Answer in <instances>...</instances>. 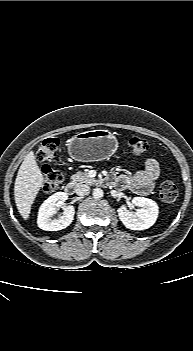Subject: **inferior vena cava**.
I'll list each match as a JSON object with an SVG mask.
<instances>
[{
	"instance_id": "inferior-vena-cava-1",
	"label": "inferior vena cava",
	"mask_w": 193,
	"mask_h": 351,
	"mask_svg": "<svg viewBox=\"0 0 193 351\" xmlns=\"http://www.w3.org/2000/svg\"><path fill=\"white\" fill-rule=\"evenodd\" d=\"M75 192L78 196H85L89 194L90 187L86 184H80L76 187Z\"/></svg>"
}]
</instances>
